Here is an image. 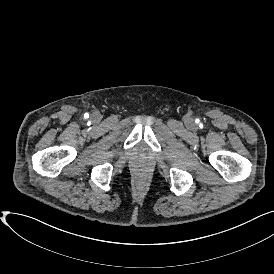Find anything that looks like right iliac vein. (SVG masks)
Listing matches in <instances>:
<instances>
[{"label":"right iliac vein","mask_w":274,"mask_h":274,"mask_svg":"<svg viewBox=\"0 0 274 274\" xmlns=\"http://www.w3.org/2000/svg\"><path fill=\"white\" fill-rule=\"evenodd\" d=\"M101 119V115L99 112H94L93 115H92V120L93 122L95 123H98Z\"/></svg>","instance_id":"right-iliac-vein-1"}]
</instances>
